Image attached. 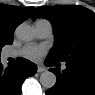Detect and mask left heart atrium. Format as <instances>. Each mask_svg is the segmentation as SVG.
I'll return each instance as SVG.
<instances>
[{"instance_id": "obj_1", "label": "left heart atrium", "mask_w": 95, "mask_h": 95, "mask_svg": "<svg viewBox=\"0 0 95 95\" xmlns=\"http://www.w3.org/2000/svg\"><path fill=\"white\" fill-rule=\"evenodd\" d=\"M45 51L43 46L27 45L22 50V53L27 59L36 62L45 54Z\"/></svg>"}]
</instances>
